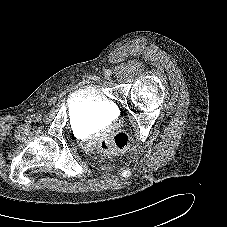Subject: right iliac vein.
Here are the masks:
<instances>
[{
	"label": "right iliac vein",
	"instance_id": "right-iliac-vein-1",
	"mask_svg": "<svg viewBox=\"0 0 227 227\" xmlns=\"http://www.w3.org/2000/svg\"><path fill=\"white\" fill-rule=\"evenodd\" d=\"M33 117H34V119H36V120H40V119H41V114H40V113H35V114L33 115Z\"/></svg>",
	"mask_w": 227,
	"mask_h": 227
}]
</instances>
